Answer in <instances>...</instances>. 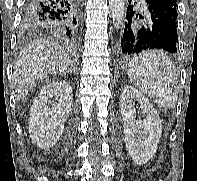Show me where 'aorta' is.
Segmentation results:
<instances>
[{"label": "aorta", "instance_id": "1", "mask_svg": "<svg viewBox=\"0 0 197 181\" xmlns=\"http://www.w3.org/2000/svg\"><path fill=\"white\" fill-rule=\"evenodd\" d=\"M111 17L115 28L119 29L124 18L125 0H109Z\"/></svg>", "mask_w": 197, "mask_h": 181}]
</instances>
